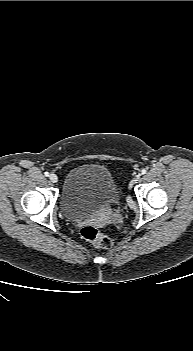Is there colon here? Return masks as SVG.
<instances>
[{
    "label": "colon",
    "mask_w": 193,
    "mask_h": 351,
    "mask_svg": "<svg viewBox=\"0 0 193 351\" xmlns=\"http://www.w3.org/2000/svg\"><path fill=\"white\" fill-rule=\"evenodd\" d=\"M81 236L98 248L107 249L111 246V239L94 225L84 226Z\"/></svg>",
    "instance_id": "obj_1"
}]
</instances>
